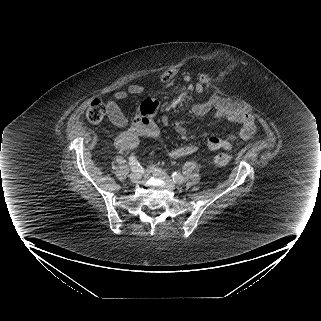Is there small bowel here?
Masks as SVG:
<instances>
[{
	"instance_id": "obj_1",
	"label": "small bowel",
	"mask_w": 321,
	"mask_h": 321,
	"mask_svg": "<svg viewBox=\"0 0 321 321\" xmlns=\"http://www.w3.org/2000/svg\"><path fill=\"white\" fill-rule=\"evenodd\" d=\"M195 90L201 92L202 85L197 84ZM140 92L141 87L133 85L129 88L128 92H118L107 102L108 114L111 122L117 127L124 128L116 138V147L123 151L135 149L139 144V138L142 136H147L154 140H159L160 138V130L153 119L159 110V104L156 100L151 99L144 101L140 107L141 118L131 123L128 122L119 107L120 100L126 98L128 95H137ZM214 107L215 101L207 99L203 102L194 104L191 111L196 116H203ZM215 117L238 124L241 128L238 133L229 134L225 137L210 136L207 139V147L212 151L222 148L231 150L237 147L240 141H247L256 133L255 120L252 115L246 111L236 108L218 107L215 110ZM160 120L164 125L169 123V118L165 114L161 115ZM175 129L180 135H183L186 132L181 124L176 125ZM159 149L163 152L161 147H159ZM196 150L197 148L195 146L186 145L174 148L165 152V154L170 159H180L194 154Z\"/></svg>"
}]
</instances>
